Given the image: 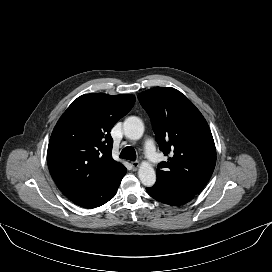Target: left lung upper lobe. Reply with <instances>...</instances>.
<instances>
[{"instance_id": "left-lung-upper-lobe-1", "label": "left lung upper lobe", "mask_w": 272, "mask_h": 272, "mask_svg": "<svg viewBox=\"0 0 272 272\" xmlns=\"http://www.w3.org/2000/svg\"><path fill=\"white\" fill-rule=\"evenodd\" d=\"M138 99L151 118L160 149L170 155L157 168L155 186L198 194L216 163L206 120L186 96L171 87H154L139 93Z\"/></svg>"}]
</instances>
